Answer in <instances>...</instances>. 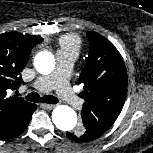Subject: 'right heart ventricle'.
<instances>
[{
    "label": "right heart ventricle",
    "mask_w": 153,
    "mask_h": 153,
    "mask_svg": "<svg viewBox=\"0 0 153 153\" xmlns=\"http://www.w3.org/2000/svg\"><path fill=\"white\" fill-rule=\"evenodd\" d=\"M60 46L62 51L77 54L80 49V39L76 35H65L60 39Z\"/></svg>",
    "instance_id": "obj_1"
}]
</instances>
